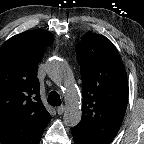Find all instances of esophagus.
<instances>
[{
  "instance_id": "34e87169",
  "label": "esophagus",
  "mask_w": 144,
  "mask_h": 144,
  "mask_svg": "<svg viewBox=\"0 0 144 144\" xmlns=\"http://www.w3.org/2000/svg\"><path fill=\"white\" fill-rule=\"evenodd\" d=\"M64 111H65V106H63V105L57 108V113L59 115H62L64 113Z\"/></svg>"
}]
</instances>
